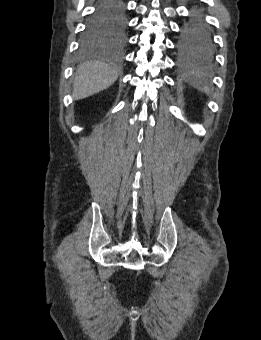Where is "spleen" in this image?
Returning <instances> with one entry per match:
<instances>
[{"label":"spleen","mask_w":261,"mask_h":340,"mask_svg":"<svg viewBox=\"0 0 261 340\" xmlns=\"http://www.w3.org/2000/svg\"><path fill=\"white\" fill-rule=\"evenodd\" d=\"M188 79H189L191 85H193L194 87L204 91L206 94L210 93V88L208 86H206V85L202 86V80H201V77H200L199 73L191 72L189 74V78Z\"/></svg>","instance_id":"1"}]
</instances>
